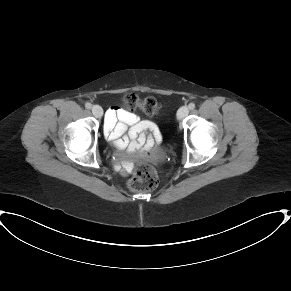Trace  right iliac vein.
I'll return each instance as SVG.
<instances>
[{"label": "right iliac vein", "mask_w": 291, "mask_h": 291, "mask_svg": "<svg viewBox=\"0 0 291 291\" xmlns=\"http://www.w3.org/2000/svg\"><path fill=\"white\" fill-rule=\"evenodd\" d=\"M92 113L96 118H101L103 115V109L99 105H94L92 107Z\"/></svg>", "instance_id": "1"}]
</instances>
